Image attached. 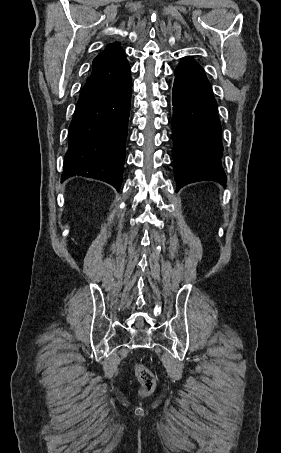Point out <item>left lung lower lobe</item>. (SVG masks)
I'll use <instances>...</instances> for the list:
<instances>
[{
  "label": "left lung lower lobe",
  "mask_w": 281,
  "mask_h": 453,
  "mask_svg": "<svg viewBox=\"0 0 281 453\" xmlns=\"http://www.w3.org/2000/svg\"><path fill=\"white\" fill-rule=\"evenodd\" d=\"M172 126L177 190L204 180L225 186L217 104L202 67L190 57L175 70Z\"/></svg>",
  "instance_id": "1"
}]
</instances>
